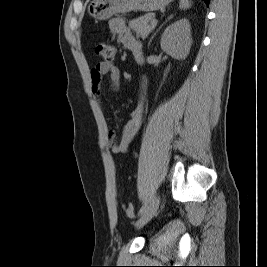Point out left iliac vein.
Here are the masks:
<instances>
[{"instance_id":"4c4485c4","label":"left iliac vein","mask_w":267,"mask_h":267,"mask_svg":"<svg viewBox=\"0 0 267 267\" xmlns=\"http://www.w3.org/2000/svg\"><path fill=\"white\" fill-rule=\"evenodd\" d=\"M160 204V197L154 196L152 200L150 201L149 205L146 207L145 211L141 214L140 218L136 221L135 226L136 228H141L145 224H147L152 217L155 215V213L158 210Z\"/></svg>"}]
</instances>
